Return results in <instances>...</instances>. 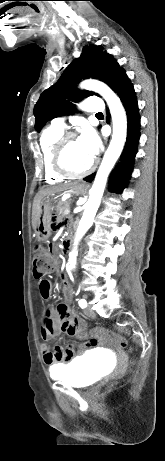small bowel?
I'll list each match as a JSON object with an SVG mask.
<instances>
[{
    "mask_svg": "<svg viewBox=\"0 0 165 461\" xmlns=\"http://www.w3.org/2000/svg\"><path fill=\"white\" fill-rule=\"evenodd\" d=\"M69 218L68 216L66 217ZM52 221L57 219L55 214L50 216ZM39 292L43 299H50L53 293V284L51 281L43 279L39 282ZM63 297L64 301L57 306L55 310L47 309L42 317V325L40 334L43 340L49 341L54 336L60 333H65L69 336H73L81 339V346L77 348V351L81 354L85 352L87 354H93L95 347L90 344H96L100 341L98 336H95L90 343V338L86 337L85 323L84 321L74 315L69 309L68 303L73 297V288L70 283L64 278L63 285ZM90 343V344H89ZM43 360L45 364L50 366L52 369L54 366L61 364L62 362L70 360L74 356V351H68L63 349L61 346L56 345L52 349L47 345L41 347Z\"/></svg>",
    "mask_w": 165,
    "mask_h": 461,
    "instance_id": "obj_1",
    "label": "small bowel"
}]
</instances>
